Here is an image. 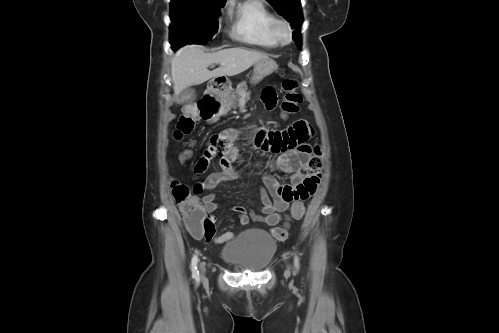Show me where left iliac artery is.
Returning a JSON list of instances; mask_svg holds the SVG:
<instances>
[{"label":"left iliac artery","instance_id":"44dca946","mask_svg":"<svg viewBox=\"0 0 499 333\" xmlns=\"http://www.w3.org/2000/svg\"><path fill=\"white\" fill-rule=\"evenodd\" d=\"M294 264H295L296 269H298L299 268V258L296 255L294 257Z\"/></svg>","mask_w":499,"mask_h":333}]
</instances>
